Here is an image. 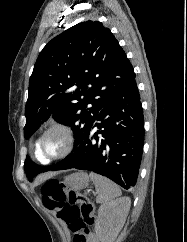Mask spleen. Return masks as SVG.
<instances>
[{
	"label": "spleen",
	"instance_id": "3e777b00",
	"mask_svg": "<svg viewBox=\"0 0 187 242\" xmlns=\"http://www.w3.org/2000/svg\"><path fill=\"white\" fill-rule=\"evenodd\" d=\"M96 188V202L105 203L121 196V190L114 182L96 173H90Z\"/></svg>",
	"mask_w": 187,
	"mask_h": 242
}]
</instances>
